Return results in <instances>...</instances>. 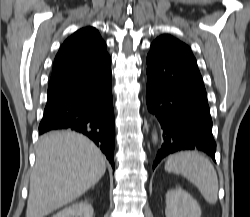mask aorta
<instances>
[{
    "label": "aorta",
    "instance_id": "762f6f07",
    "mask_svg": "<svg viewBox=\"0 0 250 217\" xmlns=\"http://www.w3.org/2000/svg\"><path fill=\"white\" fill-rule=\"evenodd\" d=\"M152 140H153L154 143H157V142H158V136H157L156 133H153V135H152Z\"/></svg>",
    "mask_w": 250,
    "mask_h": 217
}]
</instances>
